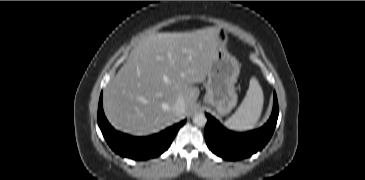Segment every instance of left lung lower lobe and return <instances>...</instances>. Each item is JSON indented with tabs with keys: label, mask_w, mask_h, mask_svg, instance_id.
I'll list each match as a JSON object with an SVG mask.
<instances>
[{
	"label": "left lung lower lobe",
	"mask_w": 365,
	"mask_h": 180,
	"mask_svg": "<svg viewBox=\"0 0 365 180\" xmlns=\"http://www.w3.org/2000/svg\"><path fill=\"white\" fill-rule=\"evenodd\" d=\"M279 114L278 101L274 92L273 111L268 122L260 129L246 133L226 130L209 114L205 127V140L209 149L227 160L246 158L261 150L270 140Z\"/></svg>",
	"instance_id": "1"
}]
</instances>
